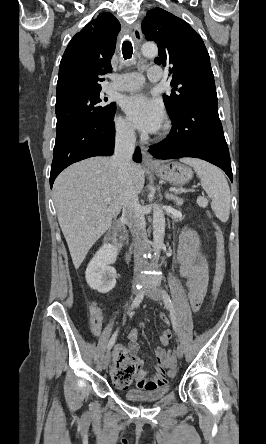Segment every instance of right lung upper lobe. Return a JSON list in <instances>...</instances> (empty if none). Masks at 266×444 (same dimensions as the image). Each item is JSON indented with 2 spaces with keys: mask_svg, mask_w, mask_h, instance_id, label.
<instances>
[{
  "mask_svg": "<svg viewBox=\"0 0 266 444\" xmlns=\"http://www.w3.org/2000/svg\"><path fill=\"white\" fill-rule=\"evenodd\" d=\"M120 28L119 21L104 12L71 39L60 62L56 98L101 89L102 76L112 69Z\"/></svg>",
  "mask_w": 266,
  "mask_h": 444,
  "instance_id": "cb5924a9",
  "label": "right lung upper lobe"
}]
</instances>
